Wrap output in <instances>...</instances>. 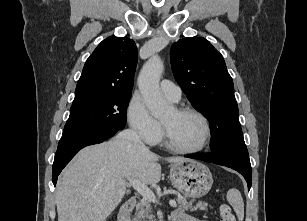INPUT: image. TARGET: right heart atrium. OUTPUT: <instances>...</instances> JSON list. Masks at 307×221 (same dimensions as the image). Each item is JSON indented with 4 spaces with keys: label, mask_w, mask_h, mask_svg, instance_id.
<instances>
[{
    "label": "right heart atrium",
    "mask_w": 307,
    "mask_h": 221,
    "mask_svg": "<svg viewBox=\"0 0 307 221\" xmlns=\"http://www.w3.org/2000/svg\"><path fill=\"white\" fill-rule=\"evenodd\" d=\"M127 118L134 133L147 144H156L162 137V127L150 113L139 95H134L127 107Z\"/></svg>",
    "instance_id": "d8ad5b80"
}]
</instances>
